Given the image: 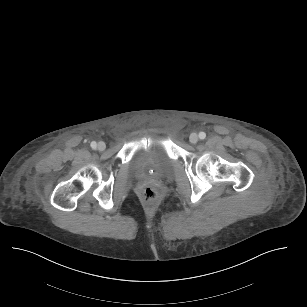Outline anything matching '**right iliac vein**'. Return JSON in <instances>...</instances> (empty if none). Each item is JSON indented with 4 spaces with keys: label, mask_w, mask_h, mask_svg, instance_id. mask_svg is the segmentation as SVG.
Masks as SVG:
<instances>
[{
    "label": "right iliac vein",
    "mask_w": 307,
    "mask_h": 307,
    "mask_svg": "<svg viewBox=\"0 0 307 307\" xmlns=\"http://www.w3.org/2000/svg\"><path fill=\"white\" fill-rule=\"evenodd\" d=\"M97 148H98L99 151H103V150H105L106 145H105L104 142L100 141V142L98 143V145H97Z\"/></svg>",
    "instance_id": "right-iliac-vein-1"
}]
</instances>
